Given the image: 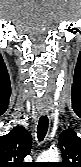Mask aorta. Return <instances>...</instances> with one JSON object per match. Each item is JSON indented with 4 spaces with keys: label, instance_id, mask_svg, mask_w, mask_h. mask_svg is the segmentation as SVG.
<instances>
[{
    "label": "aorta",
    "instance_id": "1",
    "mask_svg": "<svg viewBox=\"0 0 81 167\" xmlns=\"http://www.w3.org/2000/svg\"><path fill=\"white\" fill-rule=\"evenodd\" d=\"M39 162H59L60 155L57 151H47L38 157Z\"/></svg>",
    "mask_w": 81,
    "mask_h": 167
}]
</instances>
